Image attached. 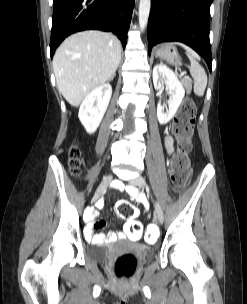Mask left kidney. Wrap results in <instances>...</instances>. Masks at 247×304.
Returning <instances> with one entry per match:
<instances>
[{
    "label": "left kidney",
    "instance_id": "left-kidney-1",
    "mask_svg": "<svg viewBox=\"0 0 247 304\" xmlns=\"http://www.w3.org/2000/svg\"><path fill=\"white\" fill-rule=\"evenodd\" d=\"M162 82V83H161ZM153 83L156 90H161L163 83L169 88L171 97L168 102L169 109L164 113V107L158 103L157 105V117L160 124H166L169 122L177 109L179 108L182 99L185 95V90L176 74L169 69L166 65L157 64L153 68Z\"/></svg>",
    "mask_w": 247,
    "mask_h": 304
}]
</instances>
